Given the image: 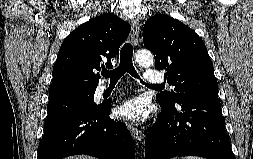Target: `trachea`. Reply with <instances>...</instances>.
Instances as JSON below:
<instances>
[{
    "instance_id": "obj_1",
    "label": "trachea",
    "mask_w": 253,
    "mask_h": 159,
    "mask_svg": "<svg viewBox=\"0 0 253 159\" xmlns=\"http://www.w3.org/2000/svg\"><path fill=\"white\" fill-rule=\"evenodd\" d=\"M132 57H133V46L130 43H125L123 47L120 50V64L119 66L111 71L104 70L102 71V75L105 77L110 78V82L116 83L126 72L129 73L132 77L140 79L138 76L133 63H132ZM140 83L145 84L146 86L153 87V88H160L162 86H150L143 82L142 79H140Z\"/></svg>"
}]
</instances>
